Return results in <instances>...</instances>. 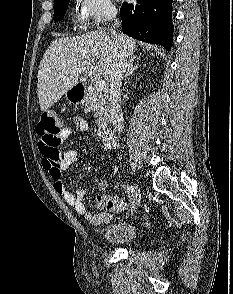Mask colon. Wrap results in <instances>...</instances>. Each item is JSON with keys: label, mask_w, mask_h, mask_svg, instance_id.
<instances>
[{"label": "colon", "mask_w": 233, "mask_h": 294, "mask_svg": "<svg viewBox=\"0 0 233 294\" xmlns=\"http://www.w3.org/2000/svg\"><path fill=\"white\" fill-rule=\"evenodd\" d=\"M62 120L54 110H47L42 113L37 126L36 132L39 136V145L43 154L47 156H59L58 146L62 140L63 131ZM105 206L110 210H120L123 204L114 199L105 202Z\"/></svg>", "instance_id": "5ec220e1"}]
</instances>
